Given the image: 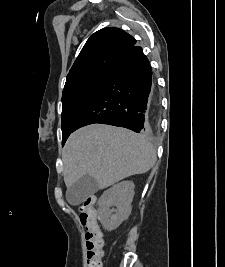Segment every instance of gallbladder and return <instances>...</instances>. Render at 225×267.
<instances>
[{
	"label": "gallbladder",
	"mask_w": 225,
	"mask_h": 267,
	"mask_svg": "<svg viewBox=\"0 0 225 267\" xmlns=\"http://www.w3.org/2000/svg\"><path fill=\"white\" fill-rule=\"evenodd\" d=\"M99 189L96 179L86 174L78 179L66 192V199L71 205L83 203Z\"/></svg>",
	"instance_id": "1"
}]
</instances>
